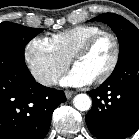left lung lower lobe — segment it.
I'll return each instance as SVG.
<instances>
[{
  "instance_id": "1",
  "label": "left lung lower lobe",
  "mask_w": 139,
  "mask_h": 139,
  "mask_svg": "<svg viewBox=\"0 0 139 139\" xmlns=\"http://www.w3.org/2000/svg\"><path fill=\"white\" fill-rule=\"evenodd\" d=\"M86 115L90 132L99 139H125L139 129V53L116 66L99 88L89 91Z\"/></svg>"
}]
</instances>
